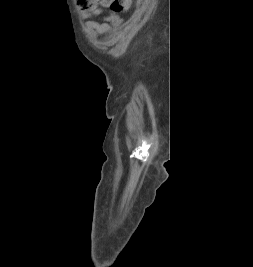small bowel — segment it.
Listing matches in <instances>:
<instances>
[{
  "instance_id": "obj_1",
  "label": "small bowel",
  "mask_w": 253,
  "mask_h": 267,
  "mask_svg": "<svg viewBox=\"0 0 253 267\" xmlns=\"http://www.w3.org/2000/svg\"><path fill=\"white\" fill-rule=\"evenodd\" d=\"M121 19L114 15L108 22L89 21L86 24L88 34L94 38L97 34L109 33L114 27L120 25Z\"/></svg>"
}]
</instances>
